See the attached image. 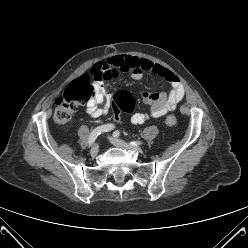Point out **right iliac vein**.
I'll return each instance as SVG.
<instances>
[{
	"mask_svg": "<svg viewBox=\"0 0 248 248\" xmlns=\"http://www.w3.org/2000/svg\"><path fill=\"white\" fill-rule=\"evenodd\" d=\"M98 152H99V144H95L90 150V155L92 157H95L98 154Z\"/></svg>",
	"mask_w": 248,
	"mask_h": 248,
	"instance_id": "1",
	"label": "right iliac vein"
}]
</instances>
